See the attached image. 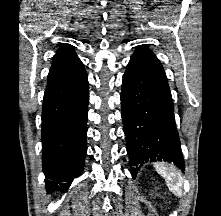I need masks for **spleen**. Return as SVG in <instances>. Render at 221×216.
Masks as SVG:
<instances>
[{
  "label": "spleen",
  "instance_id": "1",
  "mask_svg": "<svg viewBox=\"0 0 221 216\" xmlns=\"http://www.w3.org/2000/svg\"><path fill=\"white\" fill-rule=\"evenodd\" d=\"M155 169L161 175L169 190L178 197L182 196L183 178L181 172L174 166H166L162 163L155 164Z\"/></svg>",
  "mask_w": 221,
  "mask_h": 216
}]
</instances>
